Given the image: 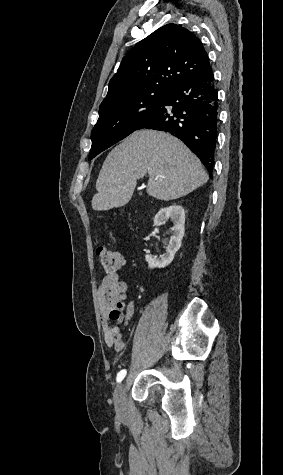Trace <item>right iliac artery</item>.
Listing matches in <instances>:
<instances>
[{
    "label": "right iliac artery",
    "mask_w": 283,
    "mask_h": 475,
    "mask_svg": "<svg viewBox=\"0 0 283 475\" xmlns=\"http://www.w3.org/2000/svg\"><path fill=\"white\" fill-rule=\"evenodd\" d=\"M126 373H127V372H126L125 369L121 370V371L117 374V382H121V381L124 379V377L126 376Z\"/></svg>",
    "instance_id": "right-iliac-artery-1"
}]
</instances>
